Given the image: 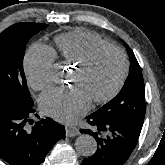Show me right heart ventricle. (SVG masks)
<instances>
[{"label":"right heart ventricle","mask_w":165,"mask_h":165,"mask_svg":"<svg viewBox=\"0 0 165 165\" xmlns=\"http://www.w3.org/2000/svg\"><path fill=\"white\" fill-rule=\"evenodd\" d=\"M55 53L64 61L77 64L94 47L108 44L97 34L77 28L55 37Z\"/></svg>","instance_id":"right-heart-ventricle-1"}]
</instances>
